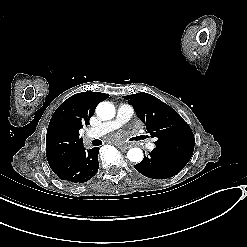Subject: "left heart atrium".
Returning a JSON list of instances; mask_svg holds the SVG:
<instances>
[{"label":"left heart atrium","mask_w":247,"mask_h":247,"mask_svg":"<svg viewBox=\"0 0 247 247\" xmlns=\"http://www.w3.org/2000/svg\"><path fill=\"white\" fill-rule=\"evenodd\" d=\"M128 137V133L126 131H120L114 134L104 136V140L107 143H119L125 140Z\"/></svg>","instance_id":"1"}]
</instances>
